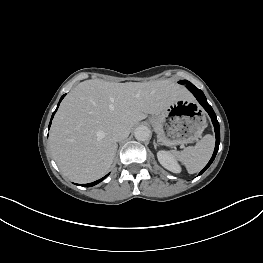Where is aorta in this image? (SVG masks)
Here are the masks:
<instances>
[{"label":"aorta","mask_w":263,"mask_h":263,"mask_svg":"<svg viewBox=\"0 0 263 263\" xmlns=\"http://www.w3.org/2000/svg\"><path fill=\"white\" fill-rule=\"evenodd\" d=\"M134 136L138 141H146L151 136V131L147 126H139L134 131Z\"/></svg>","instance_id":"1"}]
</instances>
